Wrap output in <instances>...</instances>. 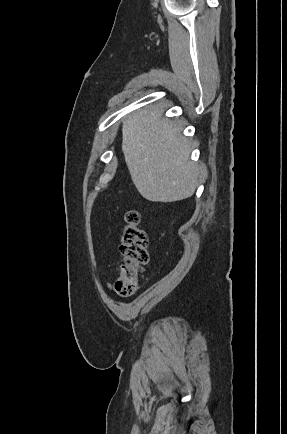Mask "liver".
<instances>
[{
	"mask_svg": "<svg viewBox=\"0 0 287 434\" xmlns=\"http://www.w3.org/2000/svg\"><path fill=\"white\" fill-rule=\"evenodd\" d=\"M156 106L129 115L122 126V149L132 181L141 196L153 202L191 197L199 170L190 160L182 128L162 118Z\"/></svg>",
	"mask_w": 287,
	"mask_h": 434,
	"instance_id": "6515ba94",
	"label": "liver"
}]
</instances>
